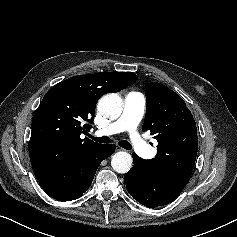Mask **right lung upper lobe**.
Listing matches in <instances>:
<instances>
[{"label": "right lung upper lobe", "mask_w": 237, "mask_h": 237, "mask_svg": "<svg viewBox=\"0 0 237 237\" xmlns=\"http://www.w3.org/2000/svg\"><path fill=\"white\" fill-rule=\"evenodd\" d=\"M129 72L78 75L54 85L32 120L29 155L38 181L59 178L85 151L99 144L81 139L91 129L95 105L105 93L118 92L136 81Z\"/></svg>", "instance_id": "obj_1"}]
</instances>
